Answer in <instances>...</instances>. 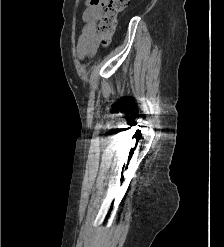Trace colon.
<instances>
[{
    "label": "colon",
    "instance_id": "obj_1",
    "mask_svg": "<svg viewBox=\"0 0 224 247\" xmlns=\"http://www.w3.org/2000/svg\"><path fill=\"white\" fill-rule=\"evenodd\" d=\"M130 0H110L101 16L97 31L99 42L107 46L117 27L119 14L129 5Z\"/></svg>",
    "mask_w": 224,
    "mask_h": 247
}]
</instances>
